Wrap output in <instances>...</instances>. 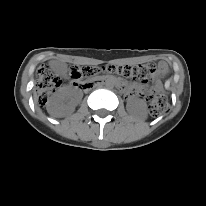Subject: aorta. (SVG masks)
Returning <instances> with one entry per match:
<instances>
[{"label":"aorta","mask_w":206,"mask_h":206,"mask_svg":"<svg viewBox=\"0 0 206 206\" xmlns=\"http://www.w3.org/2000/svg\"><path fill=\"white\" fill-rule=\"evenodd\" d=\"M105 84H106V87L107 88H113L114 87V82L110 79V78H108L107 80H106V82H105Z\"/></svg>","instance_id":"1"}]
</instances>
